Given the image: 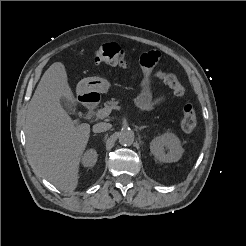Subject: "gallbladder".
<instances>
[{"mask_svg": "<svg viewBox=\"0 0 246 246\" xmlns=\"http://www.w3.org/2000/svg\"><path fill=\"white\" fill-rule=\"evenodd\" d=\"M60 102H61L62 106L65 107L68 111H71L72 113L75 112V109L67 100L61 99Z\"/></svg>", "mask_w": 246, "mask_h": 246, "instance_id": "gallbladder-1", "label": "gallbladder"}]
</instances>
